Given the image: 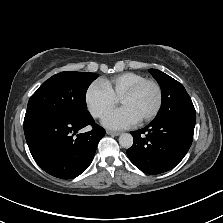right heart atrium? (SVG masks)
I'll return each mask as SVG.
<instances>
[{
    "label": "right heart atrium",
    "mask_w": 223,
    "mask_h": 223,
    "mask_svg": "<svg viewBox=\"0 0 223 223\" xmlns=\"http://www.w3.org/2000/svg\"><path fill=\"white\" fill-rule=\"evenodd\" d=\"M84 98L86 108L94 118L105 116L117 102V99L111 95L100 80L93 81L88 85Z\"/></svg>",
    "instance_id": "right-heart-atrium-1"
}]
</instances>
